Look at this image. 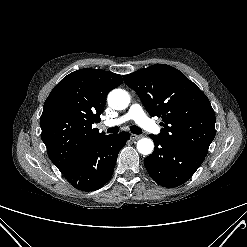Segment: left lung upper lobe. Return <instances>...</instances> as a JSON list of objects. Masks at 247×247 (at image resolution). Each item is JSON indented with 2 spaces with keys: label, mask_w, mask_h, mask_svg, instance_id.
I'll list each match as a JSON object with an SVG mask.
<instances>
[{
  "label": "left lung upper lobe",
  "mask_w": 247,
  "mask_h": 247,
  "mask_svg": "<svg viewBox=\"0 0 247 247\" xmlns=\"http://www.w3.org/2000/svg\"><path fill=\"white\" fill-rule=\"evenodd\" d=\"M151 116L162 118L158 135L168 144L207 155L215 137V113L206 95L169 65L155 64L124 75Z\"/></svg>",
  "instance_id": "obj_1"
}]
</instances>
